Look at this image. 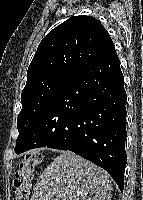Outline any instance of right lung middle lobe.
Wrapping results in <instances>:
<instances>
[{"label": "right lung middle lobe", "instance_id": "1", "mask_svg": "<svg viewBox=\"0 0 143 200\" xmlns=\"http://www.w3.org/2000/svg\"><path fill=\"white\" fill-rule=\"evenodd\" d=\"M69 77L51 74L25 85L21 94L22 109L17 118L19 136L14 149L16 153L36 118Z\"/></svg>", "mask_w": 143, "mask_h": 200}]
</instances>
